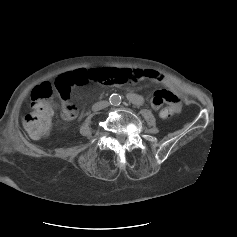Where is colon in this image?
Returning <instances> with one entry per match:
<instances>
[{
	"mask_svg": "<svg viewBox=\"0 0 237 237\" xmlns=\"http://www.w3.org/2000/svg\"><path fill=\"white\" fill-rule=\"evenodd\" d=\"M107 81L123 84L127 81V77L115 69H80L59 76L52 83H42L32 92L31 112L23 120L26 131L34 139L49 133L53 118L52 99L55 95L64 101L65 112L73 116L76 114V107L68 102L72 87L89 82ZM175 113V108L168 106L159 111V116L161 119H167Z\"/></svg>",
	"mask_w": 237,
	"mask_h": 237,
	"instance_id": "colon-1",
	"label": "colon"
}]
</instances>
